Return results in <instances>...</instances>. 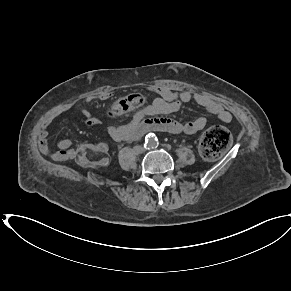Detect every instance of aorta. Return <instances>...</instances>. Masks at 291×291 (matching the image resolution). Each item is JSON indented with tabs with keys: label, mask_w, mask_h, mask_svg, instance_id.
I'll return each mask as SVG.
<instances>
[{
	"label": "aorta",
	"mask_w": 291,
	"mask_h": 291,
	"mask_svg": "<svg viewBox=\"0 0 291 291\" xmlns=\"http://www.w3.org/2000/svg\"><path fill=\"white\" fill-rule=\"evenodd\" d=\"M153 142H154V140H151V139H148V140H147V143H148L149 145H151Z\"/></svg>",
	"instance_id": "762f6f07"
}]
</instances>
